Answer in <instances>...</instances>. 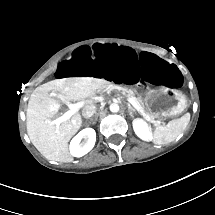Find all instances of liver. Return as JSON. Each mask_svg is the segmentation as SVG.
<instances>
[{
    "instance_id": "obj_1",
    "label": "liver",
    "mask_w": 215,
    "mask_h": 215,
    "mask_svg": "<svg viewBox=\"0 0 215 215\" xmlns=\"http://www.w3.org/2000/svg\"><path fill=\"white\" fill-rule=\"evenodd\" d=\"M108 83L95 77H67L55 79L35 88L30 95L27 108V133L33 145L47 159L72 162L68 151V141L81 126V115L73 114L70 119L59 126L50 121L57 116L60 102L50 98L48 92L60 93L64 101L82 100L92 96Z\"/></svg>"
}]
</instances>
